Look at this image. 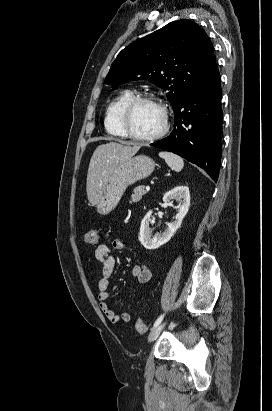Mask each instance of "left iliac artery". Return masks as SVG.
Masks as SVG:
<instances>
[{
    "instance_id": "44dca946",
    "label": "left iliac artery",
    "mask_w": 272,
    "mask_h": 411,
    "mask_svg": "<svg viewBox=\"0 0 272 411\" xmlns=\"http://www.w3.org/2000/svg\"><path fill=\"white\" fill-rule=\"evenodd\" d=\"M163 318H164V314L161 315V316H159V317L157 318V320L155 321L153 327L158 326V325L161 323V321L163 320Z\"/></svg>"
}]
</instances>
